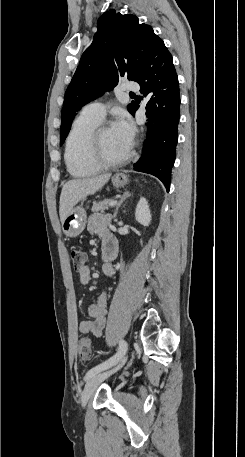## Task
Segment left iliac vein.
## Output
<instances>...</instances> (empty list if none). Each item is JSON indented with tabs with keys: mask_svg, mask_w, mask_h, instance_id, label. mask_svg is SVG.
<instances>
[{
	"mask_svg": "<svg viewBox=\"0 0 245 457\" xmlns=\"http://www.w3.org/2000/svg\"><path fill=\"white\" fill-rule=\"evenodd\" d=\"M126 360H127V356L124 354L121 357L120 362L115 366V368H113L112 370H110L109 372H106V373H97L88 379V381L84 387V392L81 394L82 406H85L87 404V402L91 399L94 391L98 388L100 383L105 381L110 374H113L117 370H119L125 364Z\"/></svg>",
	"mask_w": 245,
	"mask_h": 457,
	"instance_id": "4c4485c4",
	"label": "left iliac vein"
}]
</instances>
